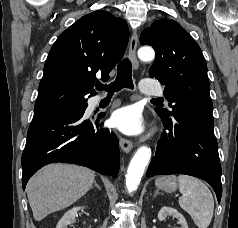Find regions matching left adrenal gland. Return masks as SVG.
I'll return each instance as SVG.
<instances>
[{
  "label": "left adrenal gland",
  "instance_id": "left-adrenal-gland-1",
  "mask_svg": "<svg viewBox=\"0 0 238 228\" xmlns=\"http://www.w3.org/2000/svg\"><path fill=\"white\" fill-rule=\"evenodd\" d=\"M159 193V190H156L154 196H157Z\"/></svg>",
  "mask_w": 238,
  "mask_h": 228
}]
</instances>
